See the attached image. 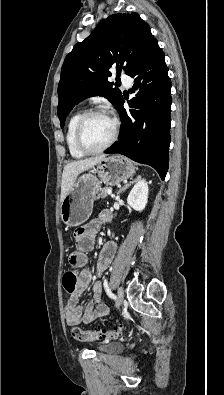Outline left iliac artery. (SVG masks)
Returning a JSON list of instances; mask_svg holds the SVG:
<instances>
[{
  "label": "left iliac artery",
  "mask_w": 224,
  "mask_h": 395,
  "mask_svg": "<svg viewBox=\"0 0 224 395\" xmlns=\"http://www.w3.org/2000/svg\"><path fill=\"white\" fill-rule=\"evenodd\" d=\"M104 288H105V291H106L107 295H108L111 299H116V296L112 293L111 289L109 288L108 282H107L106 279H105V281H104Z\"/></svg>",
  "instance_id": "left-iliac-artery-1"
}]
</instances>
